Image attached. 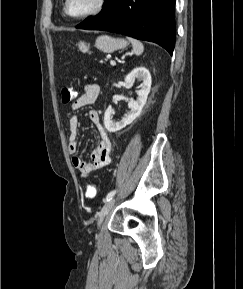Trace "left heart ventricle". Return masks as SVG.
<instances>
[{
    "mask_svg": "<svg viewBox=\"0 0 243 289\" xmlns=\"http://www.w3.org/2000/svg\"><path fill=\"white\" fill-rule=\"evenodd\" d=\"M97 0H70L69 11L73 15H80L92 10Z\"/></svg>",
    "mask_w": 243,
    "mask_h": 289,
    "instance_id": "1",
    "label": "left heart ventricle"
}]
</instances>
